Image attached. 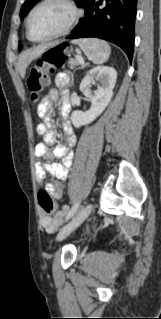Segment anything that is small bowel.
Instances as JSON below:
<instances>
[{"label": "small bowel", "instance_id": "c3829d8e", "mask_svg": "<svg viewBox=\"0 0 161 319\" xmlns=\"http://www.w3.org/2000/svg\"><path fill=\"white\" fill-rule=\"evenodd\" d=\"M69 76L65 72L57 74L55 77L56 87L51 88L44 100L39 104L37 109L38 116L43 119V123L38 125L37 132L43 135V142L35 146V155L41 161L36 166V176L39 181L43 180L46 173H49L53 179L49 185L51 195L60 200L66 189V185L60 180H65L68 177V169L72 166L71 149L76 144V135L73 131L72 125L67 119L70 111V92L68 87ZM61 94L60 114L62 117L61 128L65 136L64 144H56L57 134L55 125L51 121V114L53 112V103L59 99ZM55 145L52 152L48 151V146ZM53 158H62L63 163L48 162ZM69 210L68 205H63L57 212H42L40 216V224L47 232H53L62 222Z\"/></svg>", "mask_w": 161, "mask_h": 319}]
</instances>
